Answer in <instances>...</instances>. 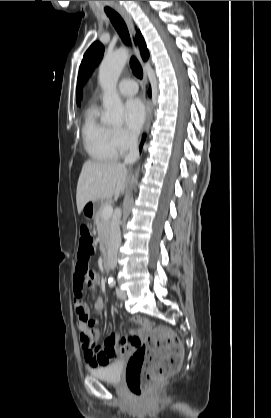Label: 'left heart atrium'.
Wrapping results in <instances>:
<instances>
[{"label":"left heart atrium","instance_id":"obj_1","mask_svg":"<svg viewBox=\"0 0 271 418\" xmlns=\"http://www.w3.org/2000/svg\"><path fill=\"white\" fill-rule=\"evenodd\" d=\"M146 119L145 106L141 100L130 99L125 104V122L128 129L132 132L140 130Z\"/></svg>","mask_w":271,"mask_h":418}]
</instances>
